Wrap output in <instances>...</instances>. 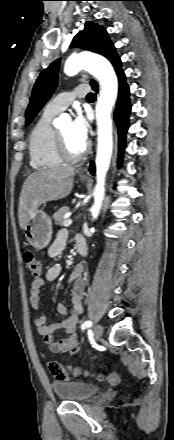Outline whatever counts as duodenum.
Segmentation results:
<instances>
[{
    "label": "duodenum",
    "instance_id": "410a0bca",
    "mask_svg": "<svg viewBox=\"0 0 174 440\" xmlns=\"http://www.w3.org/2000/svg\"><path fill=\"white\" fill-rule=\"evenodd\" d=\"M75 246L80 256L84 257L87 255L88 252L87 244L82 236H79V238L75 240Z\"/></svg>",
    "mask_w": 174,
    "mask_h": 440
}]
</instances>
